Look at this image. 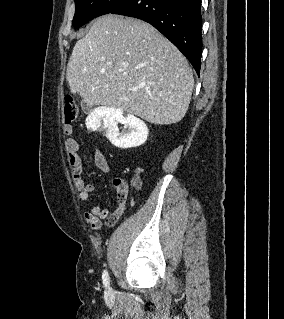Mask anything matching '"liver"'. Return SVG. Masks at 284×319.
<instances>
[{
    "label": "liver",
    "mask_w": 284,
    "mask_h": 319,
    "mask_svg": "<svg viewBox=\"0 0 284 319\" xmlns=\"http://www.w3.org/2000/svg\"><path fill=\"white\" fill-rule=\"evenodd\" d=\"M66 79L86 104L154 124L179 122L194 87L187 59L167 38L146 22L112 14L76 42Z\"/></svg>",
    "instance_id": "1"
}]
</instances>
